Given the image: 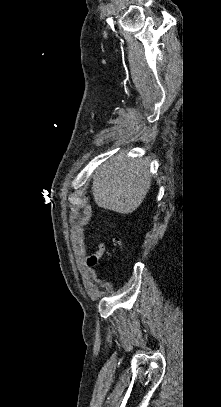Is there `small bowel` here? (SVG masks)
<instances>
[{"mask_svg": "<svg viewBox=\"0 0 221 407\" xmlns=\"http://www.w3.org/2000/svg\"><path fill=\"white\" fill-rule=\"evenodd\" d=\"M104 251H105L104 244L102 242H98L95 251L85 257V265L88 268H92L93 266H95L96 263L104 254Z\"/></svg>", "mask_w": 221, "mask_h": 407, "instance_id": "1", "label": "small bowel"}]
</instances>
